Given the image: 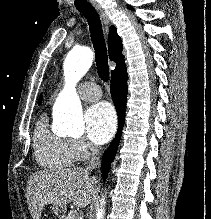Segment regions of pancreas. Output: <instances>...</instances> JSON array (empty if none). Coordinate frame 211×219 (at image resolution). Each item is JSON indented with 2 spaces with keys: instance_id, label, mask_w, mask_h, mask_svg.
<instances>
[{
  "instance_id": "obj_1",
  "label": "pancreas",
  "mask_w": 211,
  "mask_h": 219,
  "mask_svg": "<svg viewBox=\"0 0 211 219\" xmlns=\"http://www.w3.org/2000/svg\"><path fill=\"white\" fill-rule=\"evenodd\" d=\"M61 219H77V214L71 213V214H68L67 216H62Z\"/></svg>"
}]
</instances>
